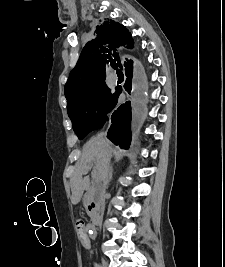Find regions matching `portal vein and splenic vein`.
Instances as JSON below:
<instances>
[{"label": "portal vein and splenic vein", "instance_id": "18ae733b", "mask_svg": "<svg viewBox=\"0 0 225 267\" xmlns=\"http://www.w3.org/2000/svg\"><path fill=\"white\" fill-rule=\"evenodd\" d=\"M93 175L96 177V171H94Z\"/></svg>", "mask_w": 225, "mask_h": 267}]
</instances>
